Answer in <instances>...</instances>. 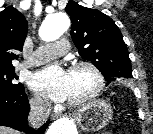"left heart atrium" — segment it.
Listing matches in <instances>:
<instances>
[{
	"mask_svg": "<svg viewBox=\"0 0 153 134\" xmlns=\"http://www.w3.org/2000/svg\"><path fill=\"white\" fill-rule=\"evenodd\" d=\"M30 87L53 101L61 102L68 99L69 72L57 65L46 67L31 75Z\"/></svg>",
	"mask_w": 153,
	"mask_h": 134,
	"instance_id": "left-heart-atrium-1",
	"label": "left heart atrium"
}]
</instances>
